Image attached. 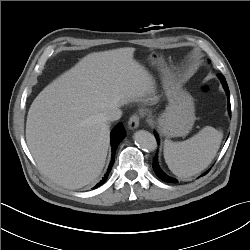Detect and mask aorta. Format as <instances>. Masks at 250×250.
<instances>
[{
	"instance_id": "762f6f07",
	"label": "aorta",
	"mask_w": 250,
	"mask_h": 250,
	"mask_svg": "<svg viewBox=\"0 0 250 250\" xmlns=\"http://www.w3.org/2000/svg\"><path fill=\"white\" fill-rule=\"evenodd\" d=\"M136 145L145 151H154L157 148V141L153 134L145 130H139L134 134Z\"/></svg>"
}]
</instances>
